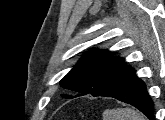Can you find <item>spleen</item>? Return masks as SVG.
Listing matches in <instances>:
<instances>
[{
  "label": "spleen",
  "mask_w": 165,
  "mask_h": 120,
  "mask_svg": "<svg viewBox=\"0 0 165 120\" xmlns=\"http://www.w3.org/2000/svg\"><path fill=\"white\" fill-rule=\"evenodd\" d=\"M104 120H145L144 116L130 108L108 109L103 113Z\"/></svg>",
  "instance_id": "1"
}]
</instances>
